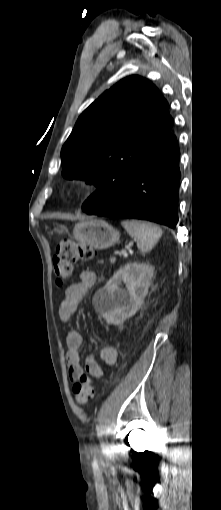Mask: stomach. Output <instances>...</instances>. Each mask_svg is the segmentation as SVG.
<instances>
[{"instance_id":"0dacf381","label":"stomach","mask_w":221,"mask_h":510,"mask_svg":"<svg viewBox=\"0 0 221 510\" xmlns=\"http://www.w3.org/2000/svg\"><path fill=\"white\" fill-rule=\"evenodd\" d=\"M59 234L68 232L64 226L55 229ZM73 236L77 241L90 245L94 249H107L120 240V233L113 226L103 220L90 219L77 223L73 229Z\"/></svg>"}]
</instances>
